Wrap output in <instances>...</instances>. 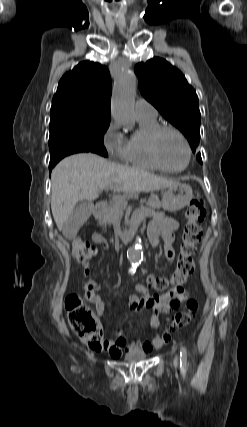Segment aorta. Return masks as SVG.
Listing matches in <instances>:
<instances>
[{
    "instance_id": "762f6f07",
    "label": "aorta",
    "mask_w": 247,
    "mask_h": 427,
    "mask_svg": "<svg viewBox=\"0 0 247 427\" xmlns=\"http://www.w3.org/2000/svg\"><path fill=\"white\" fill-rule=\"evenodd\" d=\"M137 79L134 72L122 68L118 72L112 92L111 114L113 119L125 126H131L135 122L134 98L136 94ZM143 256L141 240L138 238L127 251V257L134 270L141 262Z\"/></svg>"
}]
</instances>
